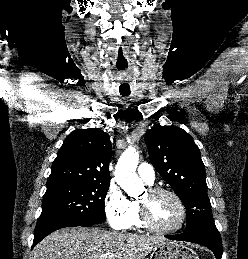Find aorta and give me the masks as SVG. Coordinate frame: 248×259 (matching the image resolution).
Wrapping results in <instances>:
<instances>
[{"mask_svg":"<svg viewBox=\"0 0 248 259\" xmlns=\"http://www.w3.org/2000/svg\"><path fill=\"white\" fill-rule=\"evenodd\" d=\"M139 162V154L135 148H128L120 156L115 167L116 182L129 196L138 195L144 188L142 180L135 173Z\"/></svg>","mask_w":248,"mask_h":259,"instance_id":"762f6f07","label":"aorta"}]
</instances>
